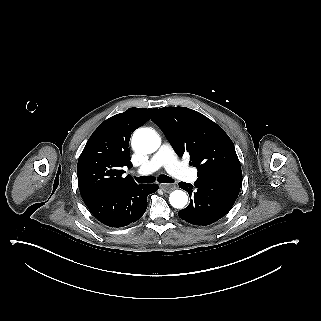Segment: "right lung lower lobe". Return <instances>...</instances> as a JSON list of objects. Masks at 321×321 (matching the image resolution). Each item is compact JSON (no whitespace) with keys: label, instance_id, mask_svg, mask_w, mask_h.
<instances>
[{"label":"right lung lower lobe","instance_id":"1","mask_svg":"<svg viewBox=\"0 0 321 321\" xmlns=\"http://www.w3.org/2000/svg\"><path fill=\"white\" fill-rule=\"evenodd\" d=\"M157 190V184H136L119 192L96 196L84 202L101 223L119 228L140 219L147 208V196Z\"/></svg>","mask_w":321,"mask_h":321}]
</instances>
